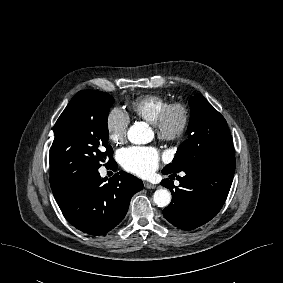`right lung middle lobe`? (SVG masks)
<instances>
[{"mask_svg":"<svg viewBox=\"0 0 283 283\" xmlns=\"http://www.w3.org/2000/svg\"><path fill=\"white\" fill-rule=\"evenodd\" d=\"M114 98L106 92L79 91L54 126L50 153L51 188L98 170L110 163L113 149L108 145L107 118Z\"/></svg>","mask_w":283,"mask_h":283,"instance_id":"right-lung-middle-lobe-1","label":"right lung middle lobe"}]
</instances>
